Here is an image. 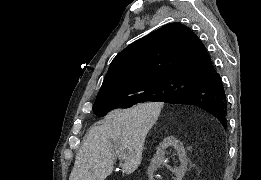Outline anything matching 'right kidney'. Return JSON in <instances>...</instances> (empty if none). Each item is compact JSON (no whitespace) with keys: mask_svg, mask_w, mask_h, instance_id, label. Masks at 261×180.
<instances>
[{"mask_svg":"<svg viewBox=\"0 0 261 180\" xmlns=\"http://www.w3.org/2000/svg\"><path fill=\"white\" fill-rule=\"evenodd\" d=\"M169 146H173V148H175V150L180 158V168H178V170H173L174 174H176V176H178V178H180V180H182L185 172H187L188 160H187V156H186V152H185V148H184L183 144H181V142H179V140H177V138H175V136H168V138H164L163 142H161V144H159V146L157 148V152L151 162V166L147 172L150 180H153V178H154V176H153L154 170H156V168H158L159 164H162V162H164L165 150H166V148H169Z\"/></svg>","mask_w":261,"mask_h":180,"instance_id":"obj_1","label":"right kidney"}]
</instances>
